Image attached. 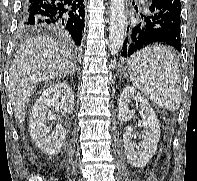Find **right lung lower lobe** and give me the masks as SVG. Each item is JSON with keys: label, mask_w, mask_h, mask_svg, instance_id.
I'll use <instances>...</instances> for the list:
<instances>
[{"label": "right lung lower lobe", "mask_w": 197, "mask_h": 181, "mask_svg": "<svg viewBox=\"0 0 197 181\" xmlns=\"http://www.w3.org/2000/svg\"><path fill=\"white\" fill-rule=\"evenodd\" d=\"M84 17V0H23L20 26L56 31L80 46Z\"/></svg>", "instance_id": "1"}]
</instances>
